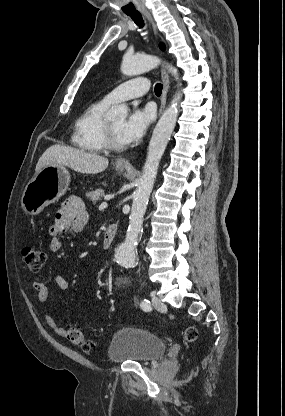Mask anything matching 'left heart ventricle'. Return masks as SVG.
I'll list each match as a JSON object with an SVG mask.
<instances>
[{
    "mask_svg": "<svg viewBox=\"0 0 285 416\" xmlns=\"http://www.w3.org/2000/svg\"><path fill=\"white\" fill-rule=\"evenodd\" d=\"M113 135L114 140L119 143V144H123L121 139H120V135H119V130L124 122L123 118H113V119H109L107 120Z\"/></svg>",
    "mask_w": 285,
    "mask_h": 416,
    "instance_id": "b2bd125f",
    "label": "left heart ventricle"
}]
</instances>
